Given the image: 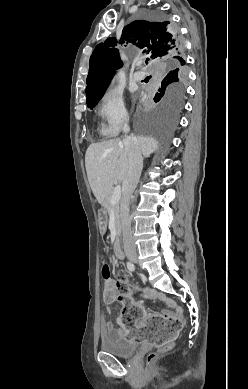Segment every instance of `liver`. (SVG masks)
I'll list each match as a JSON object with an SVG mask.
<instances>
[{
	"mask_svg": "<svg viewBox=\"0 0 248 389\" xmlns=\"http://www.w3.org/2000/svg\"><path fill=\"white\" fill-rule=\"evenodd\" d=\"M141 153L149 157L158 149V142L147 136L136 138ZM85 167L91 190L102 204L116 181H124L129 167L128 154L124 143L110 140L89 145L85 155Z\"/></svg>",
	"mask_w": 248,
	"mask_h": 389,
	"instance_id": "1",
	"label": "liver"
}]
</instances>
